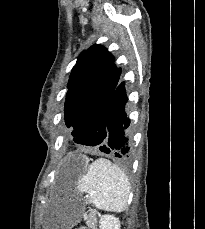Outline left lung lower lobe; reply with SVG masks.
<instances>
[{"instance_id": "left-lung-lower-lobe-1", "label": "left lung lower lobe", "mask_w": 205, "mask_h": 229, "mask_svg": "<svg viewBox=\"0 0 205 229\" xmlns=\"http://www.w3.org/2000/svg\"><path fill=\"white\" fill-rule=\"evenodd\" d=\"M128 101L125 84H117L107 106L105 122L95 132L91 141L100 145V150L121 160H128L131 156L130 120L124 108Z\"/></svg>"}]
</instances>
